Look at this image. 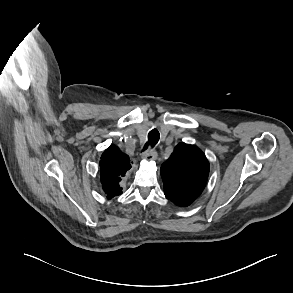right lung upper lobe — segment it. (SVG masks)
<instances>
[{"label":"right lung upper lobe","instance_id":"cb5924a9","mask_svg":"<svg viewBox=\"0 0 293 293\" xmlns=\"http://www.w3.org/2000/svg\"><path fill=\"white\" fill-rule=\"evenodd\" d=\"M131 168L129 156L124 154L115 145L106 149L100 160V177L107 198L122 194L119 182Z\"/></svg>","mask_w":293,"mask_h":293}]
</instances>
